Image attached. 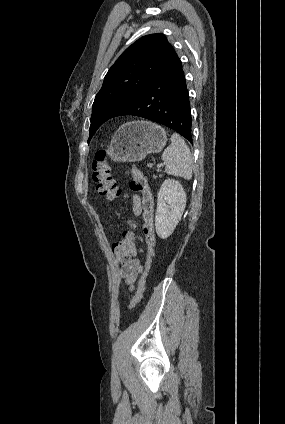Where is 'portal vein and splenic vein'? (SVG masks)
<instances>
[{
	"instance_id": "1",
	"label": "portal vein and splenic vein",
	"mask_w": 285,
	"mask_h": 424,
	"mask_svg": "<svg viewBox=\"0 0 285 424\" xmlns=\"http://www.w3.org/2000/svg\"><path fill=\"white\" fill-rule=\"evenodd\" d=\"M161 166H163V164H158L157 167L160 168Z\"/></svg>"
}]
</instances>
